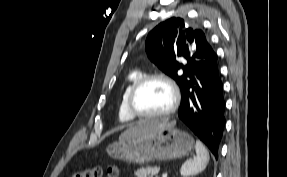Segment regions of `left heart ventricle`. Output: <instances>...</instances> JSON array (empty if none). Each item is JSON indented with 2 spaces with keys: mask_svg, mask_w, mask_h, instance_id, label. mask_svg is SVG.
Masks as SVG:
<instances>
[{
  "mask_svg": "<svg viewBox=\"0 0 287 177\" xmlns=\"http://www.w3.org/2000/svg\"><path fill=\"white\" fill-rule=\"evenodd\" d=\"M172 103V96L168 86L159 80L145 84L137 93L135 106L145 114H157L166 111Z\"/></svg>",
  "mask_w": 287,
  "mask_h": 177,
  "instance_id": "obj_1",
  "label": "left heart ventricle"
}]
</instances>
